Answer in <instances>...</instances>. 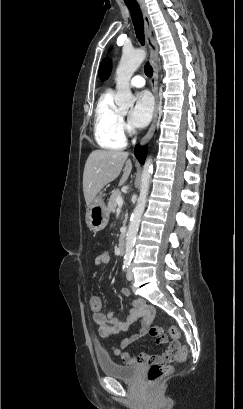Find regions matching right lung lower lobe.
Listing matches in <instances>:
<instances>
[{"label":"right lung lower lobe","mask_w":243,"mask_h":409,"mask_svg":"<svg viewBox=\"0 0 243 409\" xmlns=\"http://www.w3.org/2000/svg\"><path fill=\"white\" fill-rule=\"evenodd\" d=\"M146 152H147V147H145V146H139V145H137V146L135 147V149H134V153H135L136 158H137L138 161H139L140 163H142V164H143L144 161H145Z\"/></svg>","instance_id":"obj_1"}]
</instances>
